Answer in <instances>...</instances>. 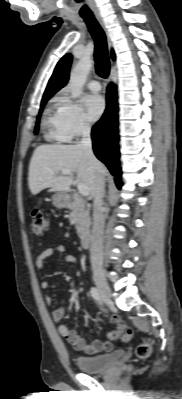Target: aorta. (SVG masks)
Here are the masks:
<instances>
[{
	"label": "aorta",
	"mask_w": 182,
	"mask_h": 399,
	"mask_svg": "<svg viewBox=\"0 0 182 399\" xmlns=\"http://www.w3.org/2000/svg\"><path fill=\"white\" fill-rule=\"evenodd\" d=\"M92 66L93 60L88 56H83L72 69L68 84L72 98H78L81 96L83 85Z\"/></svg>",
	"instance_id": "obj_1"
}]
</instances>
